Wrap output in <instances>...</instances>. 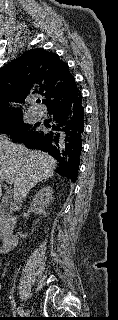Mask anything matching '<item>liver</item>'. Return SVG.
<instances>
[{"label":"liver","mask_w":118,"mask_h":320,"mask_svg":"<svg viewBox=\"0 0 118 320\" xmlns=\"http://www.w3.org/2000/svg\"><path fill=\"white\" fill-rule=\"evenodd\" d=\"M57 161L45 152L29 150L0 135V181L9 179L14 184V204L10 209L20 208L28 192L39 181L53 176ZM2 188L0 184V198Z\"/></svg>","instance_id":"obj_1"}]
</instances>
